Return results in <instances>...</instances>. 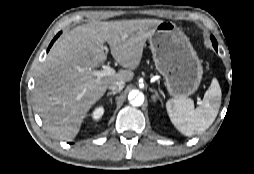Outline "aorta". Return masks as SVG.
Returning a JSON list of instances; mask_svg holds the SVG:
<instances>
[{
	"label": "aorta",
	"instance_id": "aorta-1",
	"mask_svg": "<svg viewBox=\"0 0 254 174\" xmlns=\"http://www.w3.org/2000/svg\"><path fill=\"white\" fill-rule=\"evenodd\" d=\"M128 100L133 106H141L144 103V94L138 90H132L128 95Z\"/></svg>",
	"mask_w": 254,
	"mask_h": 174
}]
</instances>
